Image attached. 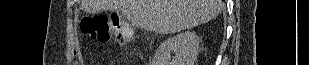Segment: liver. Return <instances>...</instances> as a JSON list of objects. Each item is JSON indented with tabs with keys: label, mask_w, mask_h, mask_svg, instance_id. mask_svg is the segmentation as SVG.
I'll use <instances>...</instances> for the list:
<instances>
[{
	"label": "liver",
	"mask_w": 309,
	"mask_h": 65,
	"mask_svg": "<svg viewBox=\"0 0 309 65\" xmlns=\"http://www.w3.org/2000/svg\"><path fill=\"white\" fill-rule=\"evenodd\" d=\"M90 14L120 11L134 26L159 34L179 32L216 18L221 0H82Z\"/></svg>",
	"instance_id": "6515ba94"
}]
</instances>
